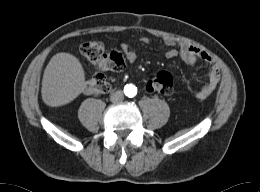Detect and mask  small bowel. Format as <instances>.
<instances>
[{"label":"small bowel","mask_w":260,"mask_h":192,"mask_svg":"<svg viewBox=\"0 0 260 192\" xmlns=\"http://www.w3.org/2000/svg\"><path fill=\"white\" fill-rule=\"evenodd\" d=\"M143 44H150L151 40L148 37L140 39ZM164 44L169 47L165 53L166 58H181L187 65L195 67L198 61L204 62L208 67V77L205 84L194 93L197 99H206L216 88L220 80V70L216 61L205 51L188 44L177 43L172 39H165ZM120 49L126 59L133 63L137 60L138 54L135 49L128 43H122Z\"/></svg>","instance_id":"obj_1"}]
</instances>
